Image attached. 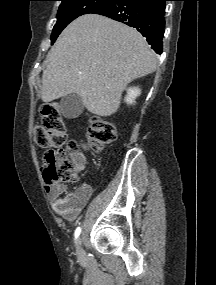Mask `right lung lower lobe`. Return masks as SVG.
<instances>
[{
	"instance_id": "98d812e1",
	"label": "right lung lower lobe",
	"mask_w": 216,
	"mask_h": 285,
	"mask_svg": "<svg viewBox=\"0 0 216 285\" xmlns=\"http://www.w3.org/2000/svg\"><path fill=\"white\" fill-rule=\"evenodd\" d=\"M165 1L168 0H114L95 10L93 14L107 16L136 28L152 49L162 53Z\"/></svg>"
}]
</instances>
